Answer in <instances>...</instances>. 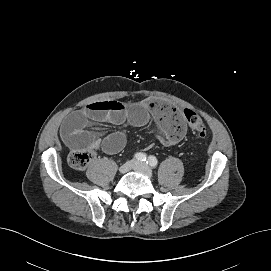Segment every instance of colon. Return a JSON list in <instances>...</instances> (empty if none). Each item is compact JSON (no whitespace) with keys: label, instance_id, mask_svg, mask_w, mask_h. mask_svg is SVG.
<instances>
[{"label":"colon","instance_id":"5ec220e1","mask_svg":"<svg viewBox=\"0 0 271 271\" xmlns=\"http://www.w3.org/2000/svg\"><path fill=\"white\" fill-rule=\"evenodd\" d=\"M182 114L191 130L200 136L206 135L207 128L201 117L196 112L190 109H185L183 110ZM93 158V151L87 149H77L70 152L68 156V162L73 168L82 170L87 167Z\"/></svg>","mask_w":271,"mask_h":271}]
</instances>
